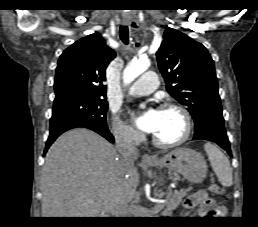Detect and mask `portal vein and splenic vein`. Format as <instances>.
I'll return each mask as SVG.
<instances>
[{
    "instance_id": "1",
    "label": "portal vein and splenic vein",
    "mask_w": 258,
    "mask_h": 227,
    "mask_svg": "<svg viewBox=\"0 0 258 227\" xmlns=\"http://www.w3.org/2000/svg\"><path fill=\"white\" fill-rule=\"evenodd\" d=\"M170 194V193H169ZM164 206V204H157L153 207V210H158V209H162ZM131 210L133 209H136V210H139V211H143L145 208L141 207V206H131L130 207Z\"/></svg>"
}]
</instances>
